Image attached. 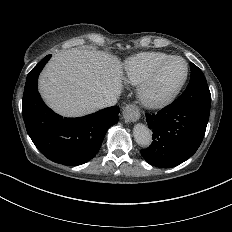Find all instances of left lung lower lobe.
I'll return each mask as SVG.
<instances>
[{
  "label": "left lung lower lobe",
  "instance_id": "obj_1",
  "mask_svg": "<svg viewBox=\"0 0 232 232\" xmlns=\"http://www.w3.org/2000/svg\"><path fill=\"white\" fill-rule=\"evenodd\" d=\"M209 114L174 102L156 114H146L152 144L141 150L144 159L160 168H172L189 159L205 135Z\"/></svg>",
  "mask_w": 232,
  "mask_h": 232
}]
</instances>
